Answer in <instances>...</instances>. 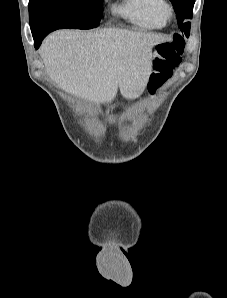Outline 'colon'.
I'll use <instances>...</instances> for the list:
<instances>
[{
  "instance_id": "colon-1",
  "label": "colon",
  "mask_w": 227,
  "mask_h": 298,
  "mask_svg": "<svg viewBox=\"0 0 227 298\" xmlns=\"http://www.w3.org/2000/svg\"><path fill=\"white\" fill-rule=\"evenodd\" d=\"M183 53L184 41L179 35L155 46L153 61L155 73L151 76L149 83L151 92H155L168 80L172 70L180 65Z\"/></svg>"
}]
</instances>
